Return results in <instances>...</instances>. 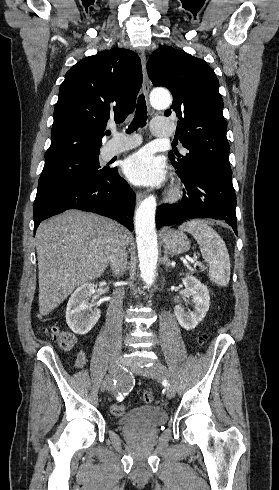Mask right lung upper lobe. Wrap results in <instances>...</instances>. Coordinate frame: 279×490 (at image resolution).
I'll list each match as a JSON object with an SVG mask.
<instances>
[{
	"mask_svg": "<svg viewBox=\"0 0 279 490\" xmlns=\"http://www.w3.org/2000/svg\"><path fill=\"white\" fill-rule=\"evenodd\" d=\"M141 84L140 58L127 49L74 65L60 86L45 163L99 154L108 121L120 124L133 112Z\"/></svg>",
	"mask_w": 279,
	"mask_h": 490,
	"instance_id": "obj_1",
	"label": "right lung upper lobe"
}]
</instances>
